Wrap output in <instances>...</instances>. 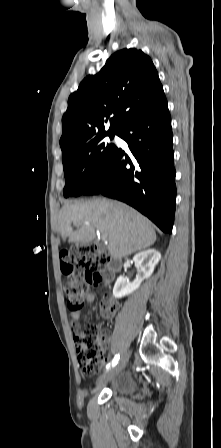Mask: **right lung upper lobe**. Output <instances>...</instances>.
Wrapping results in <instances>:
<instances>
[{
    "mask_svg": "<svg viewBox=\"0 0 221 448\" xmlns=\"http://www.w3.org/2000/svg\"><path fill=\"white\" fill-rule=\"evenodd\" d=\"M163 95L149 56L135 48L116 52L69 97L62 117L63 159L97 138L118 134L128 119Z\"/></svg>",
    "mask_w": 221,
    "mask_h": 448,
    "instance_id": "obj_1",
    "label": "right lung upper lobe"
}]
</instances>
